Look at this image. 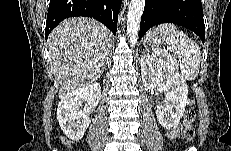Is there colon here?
<instances>
[{
  "instance_id": "colon-1",
  "label": "colon",
  "mask_w": 231,
  "mask_h": 151,
  "mask_svg": "<svg viewBox=\"0 0 231 151\" xmlns=\"http://www.w3.org/2000/svg\"><path fill=\"white\" fill-rule=\"evenodd\" d=\"M196 114L195 111L192 108H189L184 115V130H183V136L186 140L190 141L194 137V128L193 123L195 121Z\"/></svg>"
}]
</instances>
